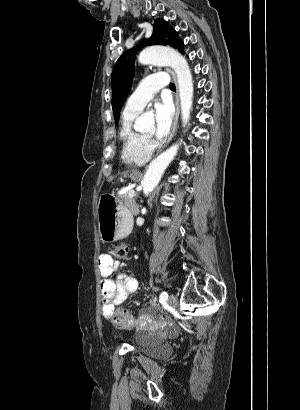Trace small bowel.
Masks as SVG:
<instances>
[{"instance_id": "small-bowel-1", "label": "small bowel", "mask_w": 300, "mask_h": 410, "mask_svg": "<svg viewBox=\"0 0 300 410\" xmlns=\"http://www.w3.org/2000/svg\"><path fill=\"white\" fill-rule=\"evenodd\" d=\"M119 262L109 254L98 257V269L101 277L100 290L103 296L102 315L109 318L116 307L126 298L135 293L138 287L136 278L132 275L118 271ZM115 276L113 277V275Z\"/></svg>"}]
</instances>
